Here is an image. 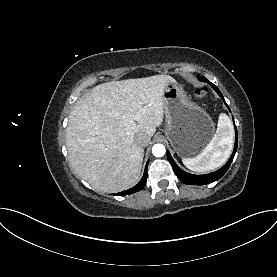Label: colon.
<instances>
[{"label":"colon","mask_w":277,"mask_h":277,"mask_svg":"<svg viewBox=\"0 0 277 277\" xmlns=\"http://www.w3.org/2000/svg\"><path fill=\"white\" fill-rule=\"evenodd\" d=\"M194 95L197 99L203 100L206 98L207 91L204 88H196L194 91Z\"/></svg>","instance_id":"1"}]
</instances>
